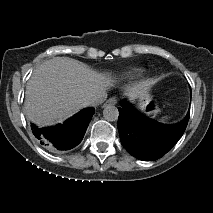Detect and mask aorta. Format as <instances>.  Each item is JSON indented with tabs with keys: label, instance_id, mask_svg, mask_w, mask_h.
Returning <instances> with one entry per match:
<instances>
[{
	"label": "aorta",
	"instance_id": "obj_1",
	"mask_svg": "<svg viewBox=\"0 0 213 213\" xmlns=\"http://www.w3.org/2000/svg\"><path fill=\"white\" fill-rule=\"evenodd\" d=\"M103 117L110 122L117 121L119 117L118 108L111 104L107 105L103 110Z\"/></svg>",
	"mask_w": 213,
	"mask_h": 213
}]
</instances>
